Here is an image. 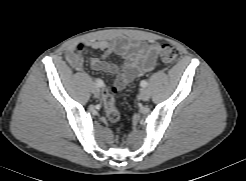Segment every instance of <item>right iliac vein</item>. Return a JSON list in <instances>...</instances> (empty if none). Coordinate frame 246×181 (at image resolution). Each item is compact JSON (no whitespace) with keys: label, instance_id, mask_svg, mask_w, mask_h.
I'll return each mask as SVG.
<instances>
[{"label":"right iliac vein","instance_id":"obj_1","mask_svg":"<svg viewBox=\"0 0 246 181\" xmlns=\"http://www.w3.org/2000/svg\"><path fill=\"white\" fill-rule=\"evenodd\" d=\"M92 92L96 97H98L100 94V89L97 86H95L93 87Z\"/></svg>","mask_w":246,"mask_h":181}]
</instances>
